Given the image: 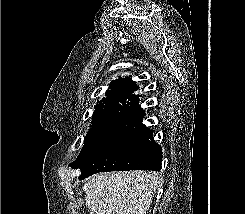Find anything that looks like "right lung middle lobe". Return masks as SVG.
I'll return each instance as SVG.
<instances>
[{"mask_svg":"<svg viewBox=\"0 0 245 214\" xmlns=\"http://www.w3.org/2000/svg\"><path fill=\"white\" fill-rule=\"evenodd\" d=\"M127 137L126 129L115 130L105 135L87 134L80 154L69 166L80 169V178L111 171L119 166L117 147Z\"/></svg>","mask_w":245,"mask_h":214,"instance_id":"1","label":"right lung middle lobe"}]
</instances>
